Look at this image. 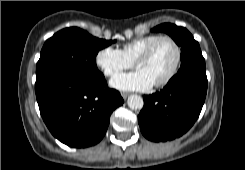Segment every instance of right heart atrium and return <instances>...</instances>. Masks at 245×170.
Listing matches in <instances>:
<instances>
[{
    "mask_svg": "<svg viewBox=\"0 0 245 170\" xmlns=\"http://www.w3.org/2000/svg\"><path fill=\"white\" fill-rule=\"evenodd\" d=\"M95 62L107 76H114L133 65L122 50L111 46L100 49L96 54Z\"/></svg>",
    "mask_w": 245,
    "mask_h": 170,
    "instance_id": "obj_1",
    "label": "right heart atrium"
}]
</instances>
